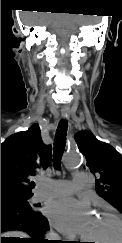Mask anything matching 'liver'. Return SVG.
Segmentation results:
<instances>
[{"mask_svg":"<svg viewBox=\"0 0 122 243\" xmlns=\"http://www.w3.org/2000/svg\"><path fill=\"white\" fill-rule=\"evenodd\" d=\"M3 235H5L4 237H17V238H27V234L23 233V232H19V231H10V232H6Z\"/></svg>","mask_w":122,"mask_h":243,"instance_id":"6515ba94","label":"liver"}]
</instances>
